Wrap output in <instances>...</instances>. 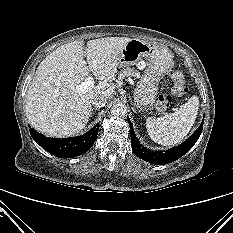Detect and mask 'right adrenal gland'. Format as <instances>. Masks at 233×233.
Here are the masks:
<instances>
[{"mask_svg": "<svg viewBox=\"0 0 233 233\" xmlns=\"http://www.w3.org/2000/svg\"><path fill=\"white\" fill-rule=\"evenodd\" d=\"M94 110H97V108H95V109H92V112H93ZM91 115H92V113H91Z\"/></svg>", "mask_w": 233, "mask_h": 233, "instance_id": "2a0ac1e0", "label": "right adrenal gland"}]
</instances>
